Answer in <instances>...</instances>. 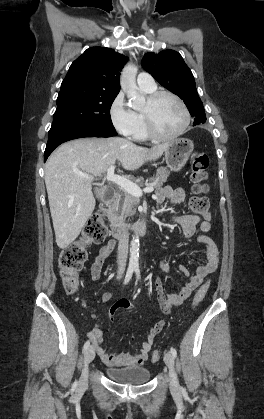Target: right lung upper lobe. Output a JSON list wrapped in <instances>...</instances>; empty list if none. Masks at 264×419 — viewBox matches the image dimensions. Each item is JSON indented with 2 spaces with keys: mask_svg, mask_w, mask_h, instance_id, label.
<instances>
[{
  "mask_svg": "<svg viewBox=\"0 0 264 419\" xmlns=\"http://www.w3.org/2000/svg\"><path fill=\"white\" fill-rule=\"evenodd\" d=\"M128 57L111 48L87 49L70 66L61 87L81 85L94 91L119 93L120 71Z\"/></svg>",
  "mask_w": 264,
  "mask_h": 419,
  "instance_id": "cb5924a9",
  "label": "right lung upper lobe"
}]
</instances>
